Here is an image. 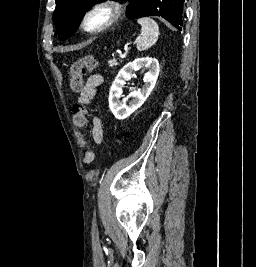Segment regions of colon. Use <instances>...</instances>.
Returning a JSON list of instances; mask_svg holds the SVG:
<instances>
[{
    "mask_svg": "<svg viewBox=\"0 0 256 267\" xmlns=\"http://www.w3.org/2000/svg\"><path fill=\"white\" fill-rule=\"evenodd\" d=\"M97 65V60L92 56L75 59L66 64L70 89L74 93H79L84 88L85 75L93 70ZM74 124L79 130L85 129L88 121V110L80 103L72 105ZM94 160V152L87 149L85 152V162L91 164Z\"/></svg>",
    "mask_w": 256,
    "mask_h": 267,
    "instance_id": "5ec220e1",
    "label": "colon"
}]
</instances>
